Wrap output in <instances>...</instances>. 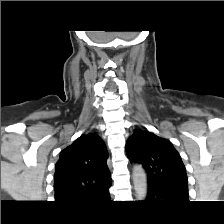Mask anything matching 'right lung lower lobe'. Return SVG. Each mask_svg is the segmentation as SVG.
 Wrapping results in <instances>:
<instances>
[{"label": "right lung lower lobe", "mask_w": 224, "mask_h": 224, "mask_svg": "<svg viewBox=\"0 0 224 224\" xmlns=\"http://www.w3.org/2000/svg\"><path fill=\"white\" fill-rule=\"evenodd\" d=\"M101 199L109 200L110 199L109 192L106 195H104Z\"/></svg>", "instance_id": "98d812e1"}]
</instances>
